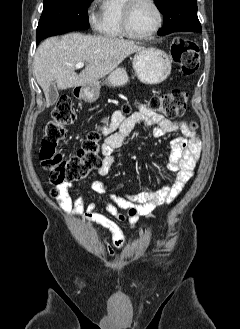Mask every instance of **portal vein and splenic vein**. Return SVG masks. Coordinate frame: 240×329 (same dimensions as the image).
<instances>
[{
    "label": "portal vein and splenic vein",
    "mask_w": 240,
    "mask_h": 329,
    "mask_svg": "<svg viewBox=\"0 0 240 329\" xmlns=\"http://www.w3.org/2000/svg\"><path fill=\"white\" fill-rule=\"evenodd\" d=\"M83 67H84V63H83V62L77 63V64L75 65V68H76V69H80V68H83Z\"/></svg>",
    "instance_id": "obj_1"
}]
</instances>
